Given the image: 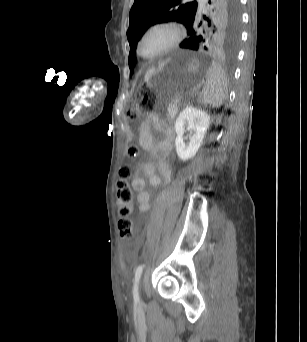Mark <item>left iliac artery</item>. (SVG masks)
I'll return each mask as SVG.
<instances>
[{
	"label": "left iliac artery",
	"mask_w": 307,
	"mask_h": 342,
	"mask_svg": "<svg viewBox=\"0 0 307 342\" xmlns=\"http://www.w3.org/2000/svg\"><path fill=\"white\" fill-rule=\"evenodd\" d=\"M144 265L140 264L135 271V280H134V286H133V297L134 301H139V294H138V282L141 277L142 271H143Z\"/></svg>",
	"instance_id": "obj_1"
}]
</instances>
